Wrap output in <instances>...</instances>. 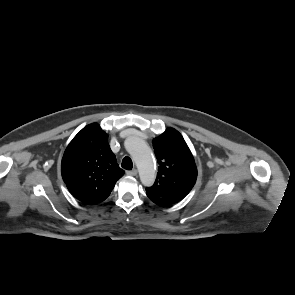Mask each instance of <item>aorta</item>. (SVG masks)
<instances>
[{"label":"aorta","mask_w":295,"mask_h":295,"mask_svg":"<svg viewBox=\"0 0 295 295\" xmlns=\"http://www.w3.org/2000/svg\"><path fill=\"white\" fill-rule=\"evenodd\" d=\"M125 148L136 163L142 184L151 186L155 181V165L150 147L143 139L131 136L126 139Z\"/></svg>","instance_id":"obj_1"}]
</instances>
